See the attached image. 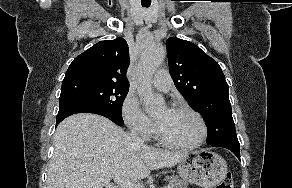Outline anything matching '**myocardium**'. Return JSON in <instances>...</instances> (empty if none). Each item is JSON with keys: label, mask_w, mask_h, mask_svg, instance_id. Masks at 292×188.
<instances>
[{"label": "myocardium", "mask_w": 292, "mask_h": 188, "mask_svg": "<svg viewBox=\"0 0 292 188\" xmlns=\"http://www.w3.org/2000/svg\"><path fill=\"white\" fill-rule=\"evenodd\" d=\"M168 109L172 110V111H186V112L193 114L198 119V121L200 123L201 134H200V137L194 143L177 144V143L170 141L169 139H167L163 135L157 122L155 121L156 138L163 146L171 148V149H176V150H192V149H195V148L201 146L206 141V139L208 137V125H207L205 118L203 117V115L199 111H197L194 108H192L191 106H189L187 104H183V103H174V104L170 105L168 107Z\"/></svg>", "instance_id": "obj_1"}]
</instances>
